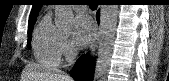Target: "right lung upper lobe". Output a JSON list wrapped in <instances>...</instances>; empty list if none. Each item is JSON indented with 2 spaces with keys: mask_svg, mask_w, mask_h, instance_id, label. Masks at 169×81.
<instances>
[{
  "mask_svg": "<svg viewBox=\"0 0 169 81\" xmlns=\"http://www.w3.org/2000/svg\"><path fill=\"white\" fill-rule=\"evenodd\" d=\"M41 6H42V2L40 0H36V3L33 5L32 10H31L29 22L36 21V17L38 15V12H39Z\"/></svg>",
  "mask_w": 169,
  "mask_h": 81,
  "instance_id": "right-lung-upper-lobe-1",
  "label": "right lung upper lobe"
}]
</instances>
